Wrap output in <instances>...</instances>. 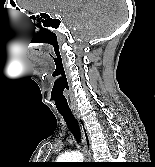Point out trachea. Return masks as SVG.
<instances>
[{
    "instance_id": "3493384b",
    "label": "trachea",
    "mask_w": 155,
    "mask_h": 167,
    "mask_svg": "<svg viewBox=\"0 0 155 167\" xmlns=\"http://www.w3.org/2000/svg\"><path fill=\"white\" fill-rule=\"evenodd\" d=\"M77 142L81 141V132L77 119L71 111H59Z\"/></svg>"
}]
</instances>
